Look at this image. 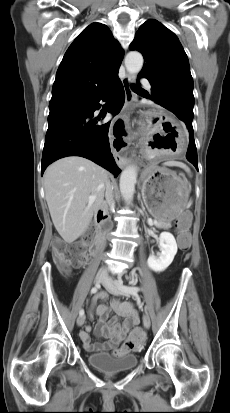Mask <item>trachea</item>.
I'll list each match as a JSON object with an SVG mask.
<instances>
[{"instance_id": "3493384b", "label": "trachea", "mask_w": 230, "mask_h": 413, "mask_svg": "<svg viewBox=\"0 0 230 413\" xmlns=\"http://www.w3.org/2000/svg\"><path fill=\"white\" fill-rule=\"evenodd\" d=\"M133 88H134V89H136V88H138V87H136V86H133Z\"/></svg>"}]
</instances>
